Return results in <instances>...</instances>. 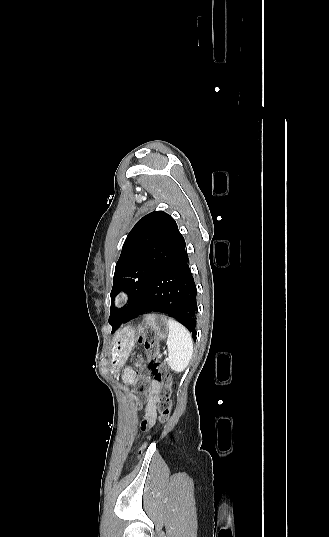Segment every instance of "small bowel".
<instances>
[{
  "label": "small bowel",
  "mask_w": 329,
  "mask_h": 537,
  "mask_svg": "<svg viewBox=\"0 0 329 537\" xmlns=\"http://www.w3.org/2000/svg\"><path fill=\"white\" fill-rule=\"evenodd\" d=\"M123 379L127 383H132L136 379V372L133 368H126L124 371ZM160 383L157 380L151 381V390L149 394V401L146 406V419L149 423L153 422L156 417V402H157V393Z\"/></svg>",
  "instance_id": "small-bowel-1"
}]
</instances>
